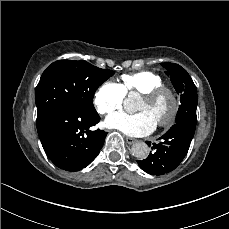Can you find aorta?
I'll list each match as a JSON object with an SVG mask.
<instances>
[{"label": "aorta", "mask_w": 229, "mask_h": 229, "mask_svg": "<svg viewBox=\"0 0 229 229\" xmlns=\"http://www.w3.org/2000/svg\"><path fill=\"white\" fill-rule=\"evenodd\" d=\"M124 105L126 108L134 107V96L131 95L125 99ZM132 155L138 159H145L149 154V147L144 142H137L131 148Z\"/></svg>", "instance_id": "aorta-1"}]
</instances>
